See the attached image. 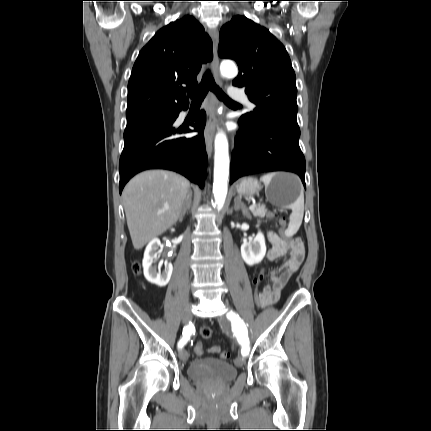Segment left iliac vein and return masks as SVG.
<instances>
[{
  "label": "left iliac vein",
  "mask_w": 431,
  "mask_h": 431,
  "mask_svg": "<svg viewBox=\"0 0 431 431\" xmlns=\"http://www.w3.org/2000/svg\"><path fill=\"white\" fill-rule=\"evenodd\" d=\"M222 321L225 323L226 321H225V319H222ZM246 363V361H245V358L243 357V356H238L236 359H235V365L237 366V367H242L244 364Z\"/></svg>",
  "instance_id": "1"
}]
</instances>
